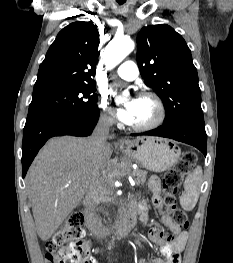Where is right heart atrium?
Returning a JSON list of instances; mask_svg holds the SVG:
<instances>
[{
    "label": "right heart atrium",
    "mask_w": 233,
    "mask_h": 263,
    "mask_svg": "<svg viewBox=\"0 0 233 263\" xmlns=\"http://www.w3.org/2000/svg\"><path fill=\"white\" fill-rule=\"evenodd\" d=\"M99 106L102 109V114H101L102 122L107 125L112 124L114 122V115L111 108L108 105L107 97L105 95H101L99 100Z\"/></svg>",
    "instance_id": "1"
}]
</instances>
